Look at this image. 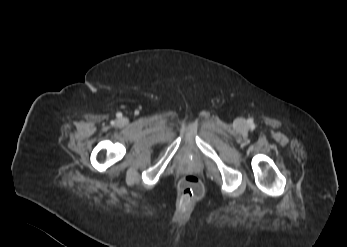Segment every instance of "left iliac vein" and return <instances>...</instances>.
Instances as JSON below:
<instances>
[{
  "label": "left iliac vein",
  "mask_w": 347,
  "mask_h": 247,
  "mask_svg": "<svg viewBox=\"0 0 347 247\" xmlns=\"http://www.w3.org/2000/svg\"><path fill=\"white\" fill-rule=\"evenodd\" d=\"M244 124V120L243 119H238L237 121H236V125L237 126H242Z\"/></svg>",
  "instance_id": "1"
}]
</instances>
